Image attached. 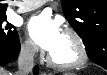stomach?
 <instances>
[{
    "label": "stomach",
    "mask_w": 107,
    "mask_h": 75,
    "mask_svg": "<svg viewBox=\"0 0 107 75\" xmlns=\"http://www.w3.org/2000/svg\"><path fill=\"white\" fill-rule=\"evenodd\" d=\"M64 75H75V74L68 73V74H64Z\"/></svg>",
    "instance_id": "obj_1"
}]
</instances>
